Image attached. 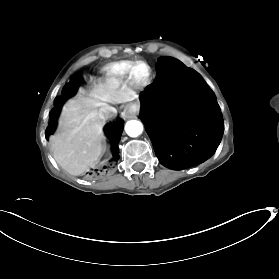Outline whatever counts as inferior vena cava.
I'll return each mask as SVG.
<instances>
[{
  "mask_svg": "<svg viewBox=\"0 0 279 279\" xmlns=\"http://www.w3.org/2000/svg\"><path fill=\"white\" fill-rule=\"evenodd\" d=\"M116 114H117V110L115 109V107L106 104L102 106L99 115L105 121V120H111L115 118Z\"/></svg>",
  "mask_w": 279,
  "mask_h": 279,
  "instance_id": "obj_1",
  "label": "inferior vena cava"
}]
</instances>
